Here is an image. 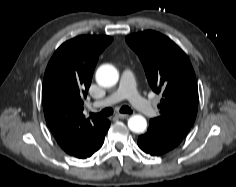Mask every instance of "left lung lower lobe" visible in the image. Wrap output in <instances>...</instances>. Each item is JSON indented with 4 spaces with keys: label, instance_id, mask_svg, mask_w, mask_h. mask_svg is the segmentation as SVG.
Masks as SVG:
<instances>
[{
    "label": "left lung lower lobe",
    "instance_id": "left-lung-lower-lobe-1",
    "mask_svg": "<svg viewBox=\"0 0 236 187\" xmlns=\"http://www.w3.org/2000/svg\"><path fill=\"white\" fill-rule=\"evenodd\" d=\"M183 137L150 122L147 133L139 136L138 146L146 153L159 156L174 149Z\"/></svg>",
    "mask_w": 236,
    "mask_h": 187
}]
</instances>
